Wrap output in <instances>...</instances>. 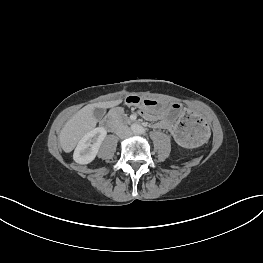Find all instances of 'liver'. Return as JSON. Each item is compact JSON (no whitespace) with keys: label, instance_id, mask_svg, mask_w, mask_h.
<instances>
[{"label":"liver","instance_id":"6515ba94","mask_svg":"<svg viewBox=\"0 0 263 263\" xmlns=\"http://www.w3.org/2000/svg\"><path fill=\"white\" fill-rule=\"evenodd\" d=\"M121 99L108 102H99L88 104L80 109L70 120L66 122L62 128L59 140L64 152H71L77 143L97 124V119L94 116L95 108H111L119 105Z\"/></svg>","mask_w":263,"mask_h":263}]
</instances>
